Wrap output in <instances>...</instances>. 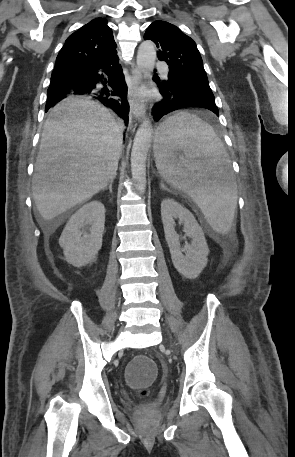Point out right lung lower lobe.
<instances>
[{"label":"right lung lower lobe","mask_w":295,"mask_h":457,"mask_svg":"<svg viewBox=\"0 0 295 457\" xmlns=\"http://www.w3.org/2000/svg\"><path fill=\"white\" fill-rule=\"evenodd\" d=\"M118 59L115 52L86 66L54 69L45 111L69 95H89L113 109L127 122V86ZM98 84L102 87H98Z\"/></svg>","instance_id":"1"}]
</instances>
